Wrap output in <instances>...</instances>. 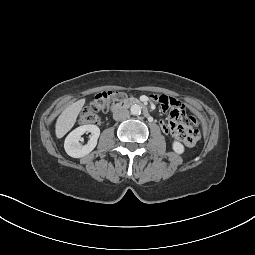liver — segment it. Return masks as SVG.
Listing matches in <instances>:
<instances>
[{"mask_svg":"<svg viewBox=\"0 0 255 255\" xmlns=\"http://www.w3.org/2000/svg\"><path fill=\"white\" fill-rule=\"evenodd\" d=\"M85 104V99H80L68 106L58 117L55 125L57 138H62L74 126L77 116Z\"/></svg>","mask_w":255,"mask_h":255,"instance_id":"liver-1","label":"liver"}]
</instances>
